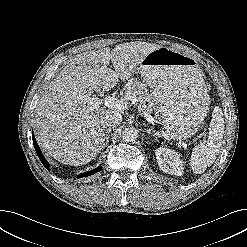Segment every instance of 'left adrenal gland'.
<instances>
[{
    "label": "left adrenal gland",
    "instance_id": "left-adrenal-gland-1",
    "mask_svg": "<svg viewBox=\"0 0 247 247\" xmlns=\"http://www.w3.org/2000/svg\"><path fill=\"white\" fill-rule=\"evenodd\" d=\"M145 132H147L148 134H152L150 129L146 130Z\"/></svg>",
    "mask_w": 247,
    "mask_h": 247
}]
</instances>
